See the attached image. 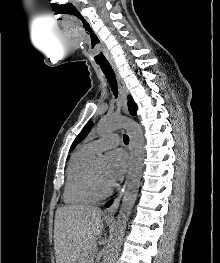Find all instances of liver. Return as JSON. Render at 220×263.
<instances>
[{
    "label": "liver",
    "instance_id": "obj_1",
    "mask_svg": "<svg viewBox=\"0 0 220 263\" xmlns=\"http://www.w3.org/2000/svg\"><path fill=\"white\" fill-rule=\"evenodd\" d=\"M103 229L101 210L93 206H62L55 214L56 263H90Z\"/></svg>",
    "mask_w": 220,
    "mask_h": 263
}]
</instances>
